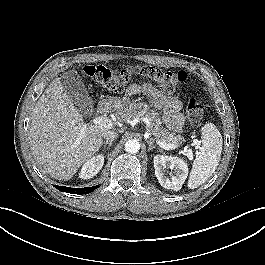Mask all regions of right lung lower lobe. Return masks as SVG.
<instances>
[{
  "label": "right lung lower lobe",
  "mask_w": 265,
  "mask_h": 265,
  "mask_svg": "<svg viewBox=\"0 0 265 265\" xmlns=\"http://www.w3.org/2000/svg\"><path fill=\"white\" fill-rule=\"evenodd\" d=\"M99 186H92V187H85V188H70V187H64V186H58L55 185V188L62 192L71 193V194H86L90 193L93 190L97 189Z\"/></svg>",
  "instance_id": "98d812e1"
}]
</instances>
